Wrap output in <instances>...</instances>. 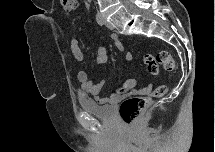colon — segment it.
<instances>
[{"mask_svg": "<svg viewBox=\"0 0 215 152\" xmlns=\"http://www.w3.org/2000/svg\"><path fill=\"white\" fill-rule=\"evenodd\" d=\"M62 6L66 14L76 10V0H63ZM145 65L151 74H157L159 67L162 66L167 71L175 69V61L168 51H160L156 55H146L144 57ZM168 86L159 85L155 90L145 97H128L125 98L119 106V115L126 124H132L138 116L148 107L153 99H159L166 95Z\"/></svg>", "mask_w": 215, "mask_h": 152, "instance_id": "5ec220e1", "label": "colon"}]
</instances>
